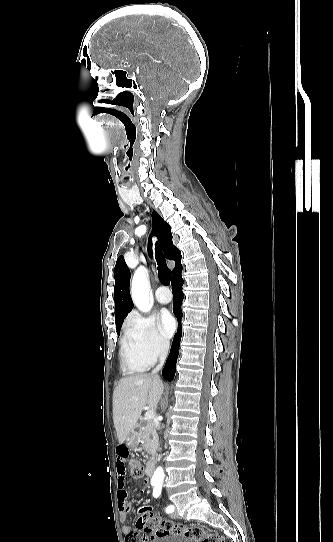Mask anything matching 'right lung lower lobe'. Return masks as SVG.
<instances>
[{
  "label": "right lung lower lobe",
  "mask_w": 333,
  "mask_h": 542,
  "mask_svg": "<svg viewBox=\"0 0 333 542\" xmlns=\"http://www.w3.org/2000/svg\"><path fill=\"white\" fill-rule=\"evenodd\" d=\"M176 266L172 271L171 284L173 288V312L178 319L179 327L177 333L174 336V340L171 346L169 357L167 358L166 364L163 368L162 374L165 380L172 381L175 375L176 363L179 354L180 339L182 335V327L180 325V320L182 318L181 304L183 300L182 285L183 279L181 276L182 265H181V253L175 259Z\"/></svg>",
  "instance_id": "obj_1"
}]
</instances>
